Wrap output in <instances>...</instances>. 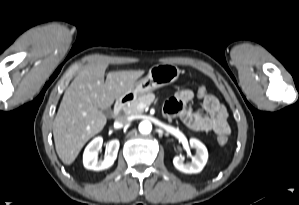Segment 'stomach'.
Here are the masks:
<instances>
[{"label":"stomach","mask_w":299,"mask_h":205,"mask_svg":"<svg viewBox=\"0 0 299 205\" xmlns=\"http://www.w3.org/2000/svg\"><path fill=\"white\" fill-rule=\"evenodd\" d=\"M180 69L171 64H157L149 69L147 76L134 83L131 89L123 96L127 100H134L141 95L148 94L157 88L169 85L176 81Z\"/></svg>","instance_id":"obj_1"}]
</instances>
